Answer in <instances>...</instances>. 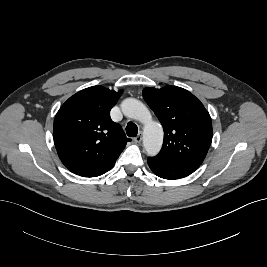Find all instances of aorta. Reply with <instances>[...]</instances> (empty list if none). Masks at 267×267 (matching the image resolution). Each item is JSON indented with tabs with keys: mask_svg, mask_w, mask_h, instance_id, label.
<instances>
[{
	"mask_svg": "<svg viewBox=\"0 0 267 267\" xmlns=\"http://www.w3.org/2000/svg\"><path fill=\"white\" fill-rule=\"evenodd\" d=\"M123 114L144 124L143 145L149 156L159 153L163 143V128L159 122L152 120L147 107L137 99L127 98L121 103Z\"/></svg>",
	"mask_w": 267,
	"mask_h": 267,
	"instance_id": "obj_1",
	"label": "aorta"
}]
</instances>
